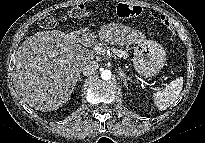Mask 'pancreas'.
Instances as JSON below:
<instances>
[{"label": "pancreas", "mask_w": 205, "mask_h": 143, "mask_svg": "<svg viewBox=\"0 0 205 143\" xmlns=\"http://www.w3.org/2000/svg\"><path fill=\"white\" fill-rule=\"evenodd\" d=\"M113 53L117 56H121L124 59H126L129 55L127 54V51H122V50H118V49H112Z\"/></svg>", "instance_id": "obj_1"}]
</instances>
